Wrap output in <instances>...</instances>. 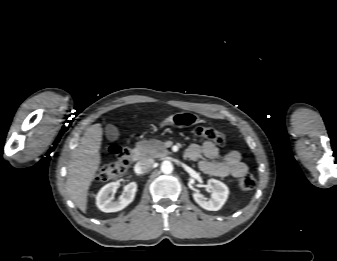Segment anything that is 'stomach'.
Instances as JSON below:
<instances>
[{
    "label": "stomach",
    "mask_w": 337,
    "mask_h": 261,
    "mask_svg": "<svg viewBox=\"0 0 337 261\" xmlns=\"http://www.w3.org/2000/svg\"><path fill=\"white\" fill-rule=\"evenodd\" d=\"M200 122H201L200 117L195 113L177 112V113L170 115L162 123H160V127L171 125L177 128H185V127L193 126Z\"/></svg>",
    "instance_id": "stomach-1"
}]
</instances>
